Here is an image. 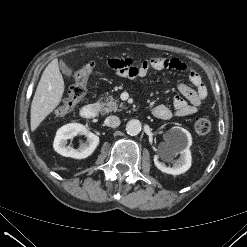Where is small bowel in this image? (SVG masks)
<instances>
[{"label":"small bowel","instance_id":"obj_1","mask_svg":"<svg viewBox=\"0 0 247 247\" xmlns=\"http://www.w3.org/2000/svg\"><path fill=\"white\" fill-rule=\"evenodd\" d=\"M108 65L121 77L134 79L147 76L150 70H177L187 72L193 88L185 83L178 85L180 95L173 98V109L166 105H157L152 114L162 120H168L173 116H189L197 112L201 102L207 96V88L200 74L177 58L154 57L142 61L136 65L131 58H114L109 60Z\"/></svg>","mask_w":247,"mask_h":247}]
</instances>
